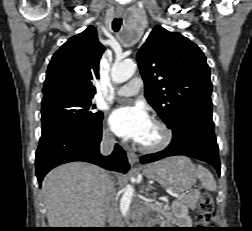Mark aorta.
<instances>
[{
    "label": "aorta",
    "mask_w": 252,
    "mask_h": 231,
    "mask_svg": "<svg viewBox=\"0 0 252 231\" xmlns=\"http://www.w3.org/2000/svg\"><path fill=\"white\" fill-rule=\"evenodd\" d=\"M136 70V64L131 61L115 62L111 69V78L115 83H123L130 79ZM134 193V188L128 185L122 195L120 201V210L124 217H126L127 212L130 208L132 196Z\"/></svg>",
    "instance_id": "aorta-1"
}]
</instances>
